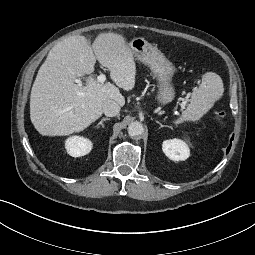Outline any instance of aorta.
Masks as SVG:
<instances>
[{
  "instance_id": "762f6f07",
  "label": "aorta",
  "mask_w": 255,
  "mask_h": 255,
  "mask_svg": "<svg viewBox=\"0 0 255 255\" xmlns=\"http://www.w3.org/2000/svg\"><path fill=\"white\" fill-rule=\"evenodd\" d=\"M144 133V127L143 124L135 121L129 124L128 126V134L131 137H138L141 136Z\"/></svg>"
}]
</instances>
